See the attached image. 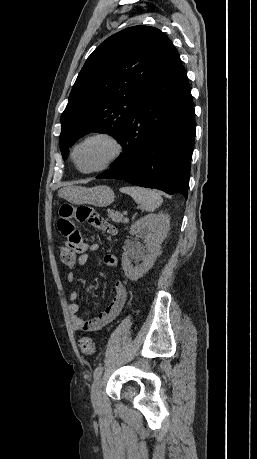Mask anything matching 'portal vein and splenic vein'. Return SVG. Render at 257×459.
I'll return each mask as SVG.
<instances>
[{"label":"portal vein and splenic vein","instance_id":"portal-vein-and-splenic-vein-1","mask_svg":"<svg viewBox=\"0 0 257 459\" xmlns=\"http://www.w3.org/2000/svg\"><path fill=\"white\" fill-rule=\"evenodd\" d=\"M124 214L126 215L127 213L125 212ZM124 222L127 223L128 222V218H124Z\"/></svg>","mask_w":257,"mask_h":459}]
</instances>
